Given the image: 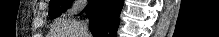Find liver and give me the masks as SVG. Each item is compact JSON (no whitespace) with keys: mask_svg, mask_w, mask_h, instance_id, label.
Returning a JSON list of instances; mask_svg holds the SVG:
<instances>
[{"mask_svg":"<svg viewBox=\"0 0 219 37\" xmlns=\"http://www.w3.org/2000/svg\"><path fill=\"white\" fill-rule=\"evenodd\" d=\"M81 23L74 20H58L50 37H82L79 34ZM86 37H90L88 34Z\"/></svg>","mask_w":219,"mask_h":37,"instance_id":"1","label":"liver"}]
</instances>
